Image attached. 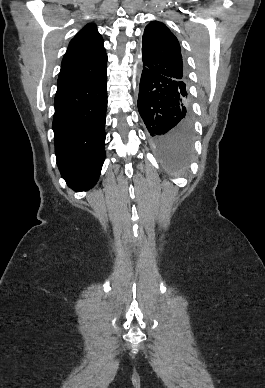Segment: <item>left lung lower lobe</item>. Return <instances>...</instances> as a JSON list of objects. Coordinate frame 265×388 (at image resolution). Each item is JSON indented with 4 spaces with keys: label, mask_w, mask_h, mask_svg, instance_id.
I'll use <instances>...</instances> for the list:
<instances>
[{
    "label": "left lung lower lobe",
    "mask_w": 265,
    "mask_h": 388,
    "mask_svg": "<svg viewBox=\"0 0 265 388\" xmlns=\"http://www.w3.org/2000/svg\"><path fill=\"white\" fill-rule=\"evenodd\" d=\"M183 93L180 82L143 67L138 110L150 144L170 170L186 168L192 151V114Z\"/></svg>",
    "instance_id": "obj_1"
}]
</instances>
